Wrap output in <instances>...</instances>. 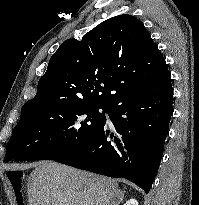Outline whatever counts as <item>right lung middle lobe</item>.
Returning a JSON list of instances; mask_svg holds the SVG:
<instances>
[{
    "instance_id": "obj_1",
    "label": "right lung middle lobe",
    "mask_w": 199,
    "mask_h": 205,
    "mask_svg": "<svg viewBox=\"0 0 199 205\" xmlns=\"http://www.w3.org/2000/svg\"><path fill=\"white\" fill-rule=\"evenodd\" d=\"M107 111L101 106L67 102L24 106L7 143L4 161L64 157L83 146L105 124Z\"/></svg>"
}]
</instances>
